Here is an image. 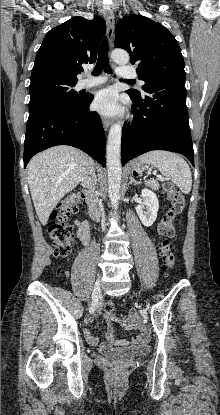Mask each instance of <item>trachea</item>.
I'll return each mask as SVG.
<instances>
[{"label":"trachea","mask_w":220,"mask_h":415,"mask_svg":"<svg viewBox=\"0 0 220 415\" xmlns=\"http://www.w3.org/2000/svg\"><path fill=\"white\" fill-rule=\"evenodd\" d=\"M108 48L109 46H108L107 37H104L99 47L98 60L92 72V75L97 76L102 72V70H104L108 74L112 72L110 65H109ZM121 81L135 82V80H122V79Z\"/></svg>","instance_id":"obj_1"}]
</instances>
